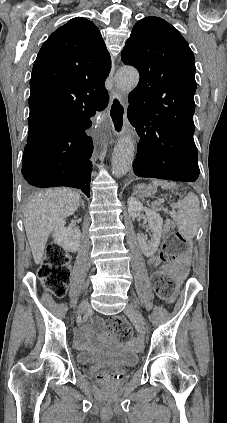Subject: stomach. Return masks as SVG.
<instances>
[{"label": "stomach", "instance_id": "1", "mask_svg": "<svg viewBox=\"0 0 227 423\" xmlns=\"http://www.w3.org/2000/svg\"><path fill=\"white\" fill-rule=\"evenodd\" d=\"M136 194L145 196V198H153L154 194H156V188L154 186H137Z\"/></svg>", "mask_w": 227, "mask_h": 423}]
</instances>
